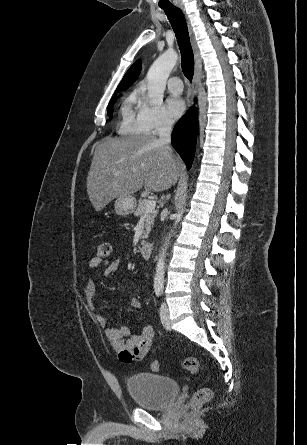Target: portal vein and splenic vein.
<instances>
[{
    "mask_svg": "<svg viewBox=\"0 0 307 445\" xmlns=\"http://www.w3.org/2000/svg\"><path fill=\"white\" fill-rule=\"evenodd\" d=\"M133 172L137 170V168H132ZM113 174H121V172H113ZM146 212H149V210H154L156 206V200H147L146 204Z\"/></svg>",
    "mask_w": 307,
    "mask_h": 445,
    "instance_id": "portal-vein-and-splenic-vein-1",
    "label": "portal vein and splenic vein"
}]
</instances>
